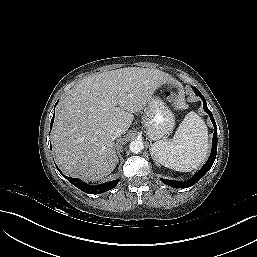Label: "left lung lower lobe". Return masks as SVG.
Segmentation results:
<instances>
[{
  "instance_id": "1",
  "label": "left lung lower lobe",
  "mask_w": 257,
  "mask_h": 257,
  "mask_svg": "<svg viewBox=\"0 0 257 257\" xmlns=\"http://www.w3.org/2000/svg\"><path fill=\"white\" fill-rule=\"evenodd\" d=\"M193 90L196 93V95H198L202 99L203 108L208 113V115L210 116V119H211V121L214 125L215 131H214V134H213L212 150H211L210 157H209L208 161L206 162V164L189 181L181 182V181H175V180L161 179L165 184H167V185H169L173 188H188V187L193 186L195 183H197L209 171V169L212 167V165L215 161V158H216V154H217L216 122L214 120V117H213L211 111L207 107L206 100L203 97V95L200 93V91L197 88L194 87Z\"/></svg>"
}]
</instances>
